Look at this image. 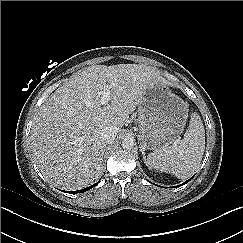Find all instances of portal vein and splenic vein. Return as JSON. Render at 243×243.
Masks as SVG:
<instances>
[{
  "mask_svg": "<svg viewBox=\"0 0 243 243\" xmlns=\"http://www.w3.org/2000/svg\"><path fill=\"white\" fill-rule=\"evenodd\" d=\"M110 87L111 86H107L104 91L102 92V97L100 99V102L102 105H106L108 103V101L110 100Z\"/></svg>",
  "mask_w": 243,
  "mask_h": 243,
  "instance_id": "obj_1",
  "label": "portal vein and splenic vein"
}]
</instances>
